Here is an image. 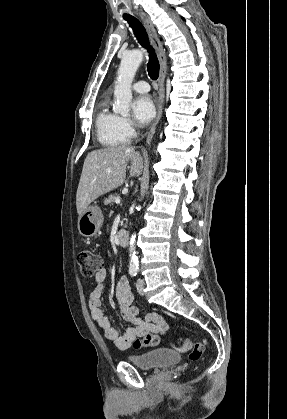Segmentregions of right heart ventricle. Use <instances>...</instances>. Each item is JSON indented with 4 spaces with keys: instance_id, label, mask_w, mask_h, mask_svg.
<instances>
[{
    "instance_id": "1",
    "label": "right heart ventricle",
    "mask_w": 287,
    "mask_h": 419,
    "mask_svg": "<svg viewBox=\"0 0 287 419\" xmlns=\"http://www.w3.org/2000/svg\"><path fill=\"white\" fill-rule=\"evenodd\" d=\"M96 136L105 147H117L127 142L120 130V117L110 111L108 101L100 102L95 119Z\"/></svg>"
}]
</instances>
